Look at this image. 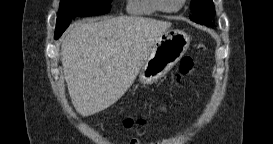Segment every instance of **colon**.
<instances>
[{
	"mask_svg": "<svg viewBox=\"0 0 273 144\" xmlns=\"http://www.w3.org/2000/svg\"><path fill=\"white\" fill-rule=\"evenodd\" d=\"M196 66V60L192 57H185L181 60L179 64V68L175 73L174 81L175 83H180L185 78L192 76L194 69ZM169 89H172V85L169 86ZM134 122L141 123V120L138 119L134 121L133 119H128L125 124L130 126L134 124Z\"/></svg>",
	"mask_w": 273,
	"mask_h": 144,
	"instance_id": "5ec220e1",
	"label": "colon"
}]
</instances>
